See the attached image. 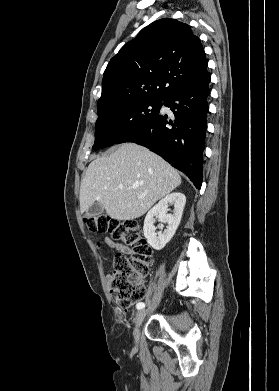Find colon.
I'll return each mask as SVG.
<instances>
[{
	"label": "colon",
	"mask_w": 279,
	"mask_h": 391,
	"mask_svg": "<svg viewBox=\"0 0 279 391\" xmlns=\"http://www.w3.org/2000/svg\"><path fill=\"white\" fill-rule=\"evenodd\" d=\"M92 232L109 233L111 238L133 249L131 257L117 254L109 276V290L113 301L128 309L145 296L143 278L150 267L152 249L147 244L141 225L136 220H116L107 215H89L84 218Z\"/></svg>",
	"instance_id": "1"
}]
</instances>
